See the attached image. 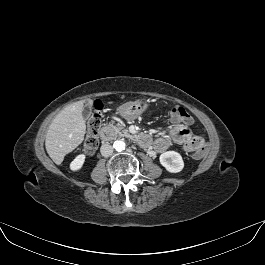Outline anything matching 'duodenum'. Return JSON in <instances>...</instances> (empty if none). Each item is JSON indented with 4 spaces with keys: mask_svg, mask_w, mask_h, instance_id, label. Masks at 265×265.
Wrapping results in <instances>:
<instances>
[{
    "mask_svg": "<svg viewBox=\"0 0 265 265\" xmlns=\"http://www.w3.org/2000/svg\"><path fill=\"white\" fill-rule=\"evenodd\" d=\"M113 135V131L111 128L109 127H103L100 130V137L102 138V140L106 141L108 139L111 138V136ZM133 138L141 145L144 147H147L150 145L151 142V138L148 134L146 133H140L137 135H134Z\"/></svg>",
    "mask_w": 265,
    "mask_h": 265,
    "instance_id": "410a0bca",
    "label": "duodenum"
}]
</instances>
